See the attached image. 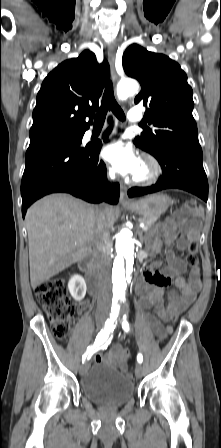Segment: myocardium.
<instances>
[{
  "label": "myocardium",
  "instance_id": "f54148a6",
  "mask_svg": "<svg viewBox=\"0 0 221 448\" xmlns=\"http://www.w3.org/2000/svg\"><path fill=\"white\" fill-rule=\"evenodd\" d=\"M143 165L146 167V172L142 175L133 177V182L139 185H151L159 180L163 173V168L159 160L152 154L146 153L142 157Z\"/></svg>",
  "mask_w": 221,
  "mask_h": 448
}]
</instances>
